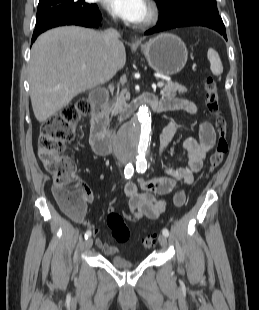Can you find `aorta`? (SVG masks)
<instances>
[{"instance_id": "aorta-1", "label": "aorta", "mask_w": 259, "mask_h": 310, "mask_svg": "<svg viewBox=\"0 0 259 310\" xmlns=\"http://www.w3.org/2000/svg\"><path fill=\"white\" fill-rule=\"evenodd\" d=\"M151 143V113L146 105L140 106L134 117L121 130L117 145L130 159H143Z\"/></svg>"}]
</instances>
